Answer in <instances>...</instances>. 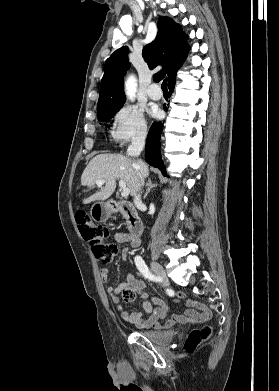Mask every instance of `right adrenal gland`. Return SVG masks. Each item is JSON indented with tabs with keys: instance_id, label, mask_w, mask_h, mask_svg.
I'll list each match as a JSON object with an SVG mask.
<instances>
[{
	"instance_id": "obj_1",
	"label": "right adrenal gland",
	"mask_w": 279,
	"mask_h": 391,
	"mask_svg": "<svg viewBox=\"0 0 279 391\" xmlns=\"http://www.w3.org/2000/svg\"><path fill=\"white\" fill-rule=\"evenodd\" d=\"M147 186H148V188H147V190H146V192H145V194H144V199L147 197V195L150 193V191H151V189L152 188H154V187H157V184H153L152 183V181H151V179H149L148 180V183H147Z\"/></svg>"
}]
</instances>
